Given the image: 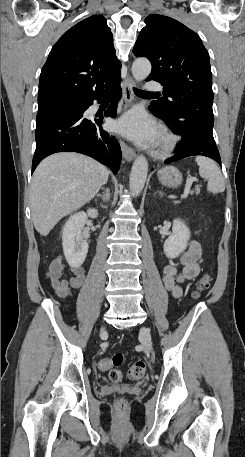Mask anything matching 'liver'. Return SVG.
Returning <instances> with one entry per match:
<instances>
[{
    "mask_svg": "<svg viewBox=\"0 0 245 457\" xmlns=\"http://www.w3.org/2000/svg\"><path fill=\"white\" fill-rule=\"evenodd\" d=\"M110 170L94 158L78 152H56L34 170L30 206L36 231L47 237L60 218L89 202Z\"/></svg>",
    "mask_w": 245,
    "mask_h": 457,
    "instance_id": "1",
    "label": "liver"
}]
</instances>
